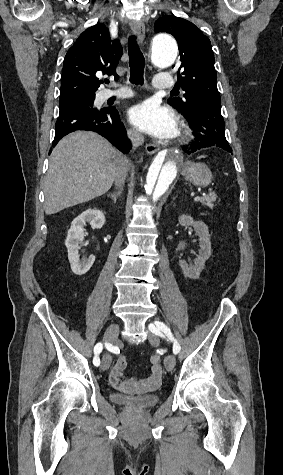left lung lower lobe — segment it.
<instances>
[{
    "mask_svg": "<svg viewBox=\"0 0 283 475\" xmlns=\"http://www.w3.org/2000/svg\"><path fill=\"white\" fill-rule=\"evenodd\" d=\"M220 105L221 102L218 100H202L195 105L190 115L185 116L189 120L195 136V140L190 145L183 147L186 154L211 146L232 152L225 137V123Z\"/></svg>",
    "mask_w": 283,
    "mask_h": 475,
    "instance_id": "1",
    "label": "left lung lower lobe"
}]
</instances>
